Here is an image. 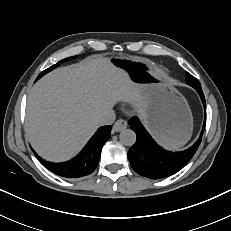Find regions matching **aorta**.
Returning <instances> with one entry per match:
<instances>
[{
  "instance_id": "obj_1",
  "label": "aorta",
  "mask_w": 231,
  "mask_h": 231,
  "mask_svg": "<svg viewBox=\"0 0 231 231\" xmlns=\"http://www.w3.org/2000/svg\"><path fill=\"white\" fill-rule=\"evenodd\" d=\"M120 142L126 146H132L136 142V133L131 129H124L119 135Z\"/></svg>"
}]
</instances>
